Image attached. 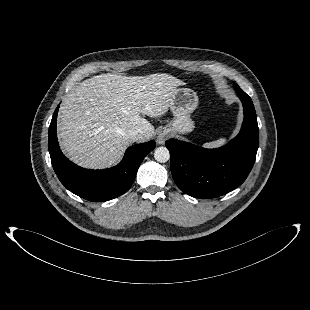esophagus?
Returning a JSON list of instances; mask_svg holds the SVG:
<instances>
[{"instance_id":"esophagus-1","label":"esophagus","mask_w":310,"mask_h":310,"mask_svg":"<svg viewBox=\"0 0 310 310\" xmlns=\"http://www.w3.org/2000/svg\"><path fill=\"white\" fill-rule=\"evenodd\" d=\"M169 134L167 131L163 130L161 131L158 136H157V142L159 144H163L165 142V140L168 138Z\"/></svg>"}]
</instances>
